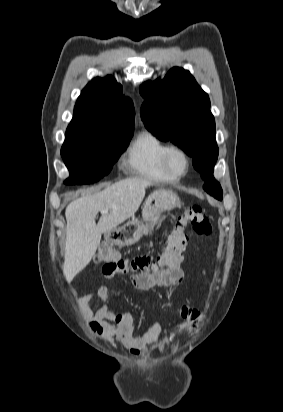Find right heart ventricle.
Here are the masks:
<instances>
[{"instance_id": "1", "label": "right heart ventricle", "mask_w": 283, "mask_h": 412, "mask_svg": "<svg viewBox=\"0 0 283 412\" xmlns=\"http://www.w3.org/2000/svg\"><path fill=\"white\" fill-rule=\"evenodd\" d=\"M170 144L157 134L145 130L130 144L125 157L126 168L140 176L159 181H174L162 166V157Z\"/></svg>"}]
</instances>
